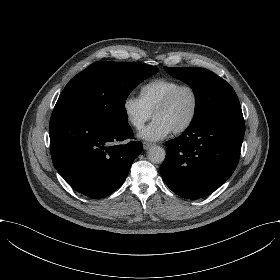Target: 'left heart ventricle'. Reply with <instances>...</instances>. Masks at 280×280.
<instances>
[{
  "label": "left heart ventricle",
  "mask_w": 280,
  "mask_h": 280,
  "mask_svg": "<svg viewBox=\"0 0 280 280\" xmlns=\"http://www.w3.org/2000/svg\"><path fill=\"white\" fill-rule=\"evenodd\" d=\"M195 97L190 89H184L166 109L157 112L154 118H161L175 130L186 123L194 110Z\"/></svg>",
  "instance_id": "left-heart-ventricle-1"
}]
</instances>
